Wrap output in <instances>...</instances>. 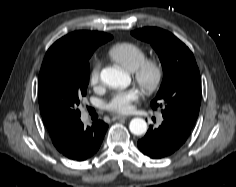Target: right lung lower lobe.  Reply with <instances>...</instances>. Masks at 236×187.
I'll return each instance as SVG.
<instances>
[{"mask_svg":"<svg viewBox=\"0 0 236 187\" xmlns=\"http://www.w3.org/2000/svg\"><path fill=\"white\" fill-rule=\"evenodd\" d=\"M107 128L108 125L103 121H97L87 128H84L82 122L78 121L59 152L71 160H87L98 151Z\"/></svg>","mask_w":236,"mask_h":187,"instance_id":"right-lung-lower-lobe-1","label":"right lung lower lobe"}]
</instances>
